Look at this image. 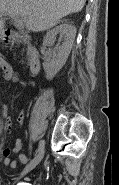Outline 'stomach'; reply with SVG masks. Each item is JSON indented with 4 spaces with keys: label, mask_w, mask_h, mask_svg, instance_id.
Returning <instances> with one entry per match:
<instances>
[{
    "label": "stomach",
    "mask_w": 119,
    "mask_h": 185,
    "mask_svg": "<svg viewBox=\"0 0 119 185\" xmlns=\"http://www.w3.org/2000/svg\"><path fill=\"white\" fill-rule=\"evenodd\" d=\"M5 37H6V35H5L4 31L0 30V41L5 40Z\"/></svg>",
    "instance_id": "stomach-1"
}]
</instances>
